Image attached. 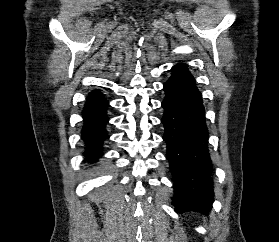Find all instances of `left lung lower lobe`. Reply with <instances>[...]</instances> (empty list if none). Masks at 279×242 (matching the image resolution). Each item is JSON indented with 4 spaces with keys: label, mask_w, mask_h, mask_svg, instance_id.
<instances>
[{
    "label": "left lung lower lobe",
    "mask_w": 279,
    "mask_h": 242,
    "mask_svg": "<svg viewBox=\"0 0 279 242\" xmlns=\"http://www.w3.org/2000/svg\"><path fill=\"white\" fill-rule=\"evenodd\" d=\"M164 84L163 140L173 176L177 213H207L213 203V169L208 150L204 107L195 80L183 64L172 68Z\"/></svg>",
    "instance_id": "left-lung-lower-lobe-1"
}]
</instances>
